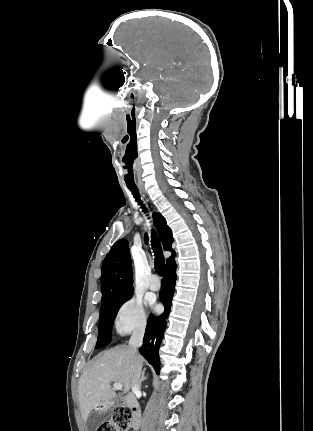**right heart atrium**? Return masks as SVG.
I'll use <instances>...</instances> for the list:
<instances>
[{"label": "right heart atrium", "instance_id": "1", "mask_svg": "<svg viewBox=\"0 0 313 431\" xmlns=\"http://www.w3.org/2000/svg\"><path fill=\"white\" fill-rule=\"evenodd\" d=\"M147 325V313L140 298L131 297L118 309L115 327L120 333L142 331Z\"/></svg>", "mask_w": 313, "mask_h": 431}]
</instances>
